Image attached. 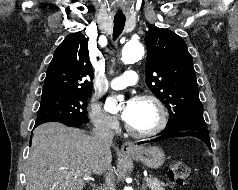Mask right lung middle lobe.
Returning a JSON list of instances; mask_svg holds the SVG:
<instances>
[{
  "label": "right lung middle lobe",
  "mask_w": 238,
  "mask_h": 190,
  "mask_svg": "<svg viewBox=\"0 0 238 190\" xmlns=\"http://www.w3.org/2000/svg\"><path fill=\"white\" fill-rule=\"evenodd\" d=\"M89 94H59L42 97L35 125L45 122L87 123Z\"/></svg>",
  "instance_id": "dd1d6c3e"
}]
</instances>
